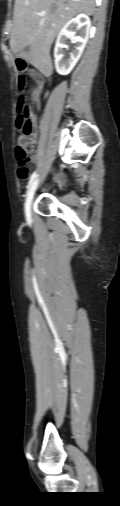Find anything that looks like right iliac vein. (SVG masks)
<instances>
[{"label":"right iliac vein","instance_id":"right-iliac-vein-1","mask_svg":"<svg viewBox=\"0 0 120 506\" xmlns=\"http://www.w3.org/2000/svg\"><path fill=\"white\" fill-rule=\"evenodd\" d=\"M38 186V180L34 181L29 190H28V193H27V196H26V200H25V215H26V218L28 220H30L31 218V208H32V202H33V198H34V193H35V190Z\"/></svg>","mask_w":120,"mask_h":506}]
</instances>
